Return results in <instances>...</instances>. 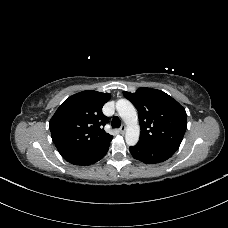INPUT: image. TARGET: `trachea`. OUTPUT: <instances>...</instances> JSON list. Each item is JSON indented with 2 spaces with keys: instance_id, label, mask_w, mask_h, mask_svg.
Returning <instances> with one entry per match:
<instances>
[{
  "instance_id": "3493384b",
  "label": "trachea",
  "mask_w": 228,
  "mask_h": 228,
  "mask_svg": "<svg viewBox=\"0 0 228 228\" xmlns=\"http://www.w3.org/2000/svg\"><path fill=\"white\" fill-rule=\"evenodd\" d=\"M111 125L113 128H119L121 125V121H120L119 117L114 116L112 119Z\"/></svg>"
}]
</instances>
